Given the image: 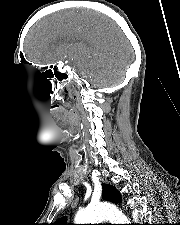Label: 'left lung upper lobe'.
<instances>
[{"label": "left lung upper lobe", "instance_id": "1", "mask_svg": "<svg viewBox=\"0 0 180 225\" xmlns=\"http://www.w3.org/2000/svg\"><path fill=\"white\" fill-rule=\"evenodd\" d=\"M102 188H103V191H102L103 199L113 203L121 202L120 193L116 190L115 187L111 185H107V184H102ZM52 225H69V224L66 223V218L63 217L55 221Z\"/></svg>", "mask_w": 180, "mask_h": 225}]
</instances>
